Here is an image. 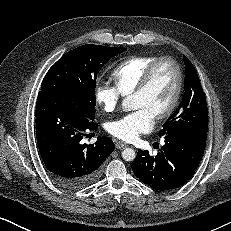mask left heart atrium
<instances>
[{
	"label": "left heart atrium",
	"mask_w": 231,
	"mask_h": 231,
	"mask_svg": "<svg viewBox=\"0 0 231 231\" xmlns=\"http://www.w3.org/2000/svg\"><path fill=\"white\" fill-rule=\"evenodd\" d=\"M154 124V115L144 107L111 121L108 124V132L123 141H133L141 133L149 131Z\"/></svg>",
	"instance_id": "1"
}]
</instances>
